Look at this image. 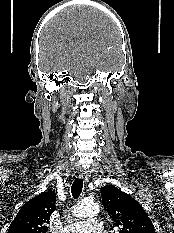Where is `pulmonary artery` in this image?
Listing matches in <instances>:
<instances>
[{
	"mask_svg": "<svg viewBox=\"0 0 174 233\" xmlns=\"http://www.w3.org/2000/svg\"><path fill=\"white\" fill-rule=\"evenodd\" d=\"M103 222L96 218H91L70 224L63 228L62 233H102Z\"/></svg>",
	"mask_w": 174,
	"mask_h": 233,
	"instance_id": "pulmonary-artery-1",
	"label": "pulmonary artery"
}]
</instances>
